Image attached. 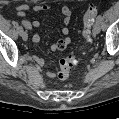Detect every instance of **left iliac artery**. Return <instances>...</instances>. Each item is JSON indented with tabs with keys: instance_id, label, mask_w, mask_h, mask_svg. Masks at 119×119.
Returning <instances> with one entry per match:
<instances>
[{
	"instance_id": "1",
	"label": "left iliac artery",
	"mask_w": 119,
	"mask_h": 119,
	"mask_svg": "<svg viewBox=\"0 0 119 119\" xmlns=\"http://www.w3.org/2000/svg\"><path fill=\"white\" fill-rule=\"evenodd\" d=\"M96 21L101 22V21H102V16H101V15H98V17H97Z\"/></svg>"
}]
</instances>
